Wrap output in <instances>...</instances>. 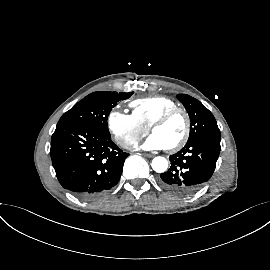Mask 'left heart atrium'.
Returning <instances> with one entry per match:
<instances>
[{
    "label": "left heart atrium",
    "instance_id": "39dd6f15",
    "mask_svg": "<svg viewBox=\"0 0 270 270\" xmlns=\"http://www.w3.org/2000/svg\"><path fill=\"white\" fill-rule=\"evenodd\" d=\"M137 148L155 151L165 149L166 146L157 135L151 134L143 143L138 144Z\"/></svg>",
    "mask_w": 270,
    "mask_h": 270
}]
</instances>
